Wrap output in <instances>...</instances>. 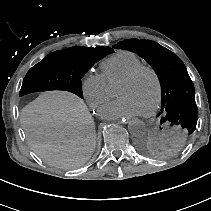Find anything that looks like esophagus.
Listing matches in <instances>:
<instances>
[{"label": "esophagus", "mask_w": 211, "mask_h": 211, "mask_svg": "<svg viewBox=\"0 0 211 211\" xmlns=\"http://www.w3.org/2000/svg\"><path fill=\"white\" fill-rule=\"evenodd\" d=\"M118 121H119V123H121V124H123V125L126 124V122H127L126 119H124V118H122V117L119 118Z\"/></svg>", "instance_id": "34e87169"}]
</instances>
